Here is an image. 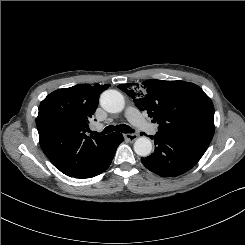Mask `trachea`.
<instances>
[{"mask_svg":"<svg viewBox=\"0 0 245 245\" xmlns=\"http://www.w3.org/2000/svg\"><path fill=\"white\" fill-rule=\"evenodd\" d=\"M114 130L122 132V133H134V130L130 128L128 125L120 124V125H110L107 126L101 133L91 132L93 135H105L113 132Z\"/></svg>","mask_w":245,"mask_h":245,"instance_id":"trachea-1","label":"trachea"}]
</instances>
